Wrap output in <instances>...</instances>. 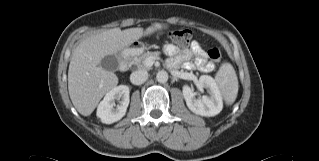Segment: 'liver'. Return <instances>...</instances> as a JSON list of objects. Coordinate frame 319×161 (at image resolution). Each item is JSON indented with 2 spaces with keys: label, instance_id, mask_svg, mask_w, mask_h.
<instances>
[{
  "label": "liver",
  "instance_id": "liver-1",
  "mask_svg": "<svg viewBox=\"0 0 319 161\" xmlns=\"http://www.w3.org/2000/svg\"><path fill=\"white\" fill-rule=\"evenodd\" d=\"M166 27L154 23L145 30L140 27L114 28L81 40L72 52L68 70L69 95L77 111L89 116L102 97L117 85L116 74L100 66L105 56L114 55L141 37Z\"/></svg>",
  "mask_w": 319,
  "mask_h": 161
}]
</instances>
